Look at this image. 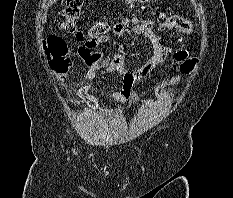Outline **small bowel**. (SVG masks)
Returning <instances> with one entry per match:
<instances>
[{
    "label": "small bowel",
    "mask_w": 233,
    "mask_h": 198,
    "mask_svg": "<svg viewBox=\"0 0 233 198\" xmlns=\"http://www.w3.org/2000/svg\"><path fill=\"white\" fill-rule=\"evenodd\" d=\"M109 29L114 35L119 37L124 35L144 36L152 46V55L140 68L131 69L127 67V59L122 53L105 55L102 52L100 46L106 41L104 37H101L92 48L80 47L79 55L87 65L86 77L88 79H92L98 74L104 75L112 72H117L122 76V89L103 95L102 97L105 99H111L120 104L127 101H135L137 99L135 84L138 81L147 77L169 57L173 56L176 61H180L186 55L185 51L173 53L171 48L163 43L159 34L154 30H147L141 23L134 26H126L120 21H115L109 26ZM179 81L180 77L178 75L173 76L169 82L168 89L175 86Z\"/></svg>",
    "instance_id": "c3829d8e"
}]
</instances>
